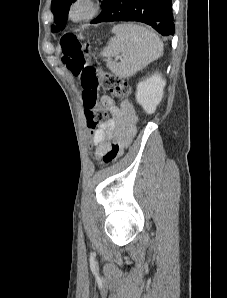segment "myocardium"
Instances as JSON below:
<instances>
[{"instance_id": "obj_1", "label": "myocardium", "mask_w": 227, "mask_h": 298, "mask_svg": "<svg viewBox=\"0 0 227 298\" xmlns=\"http://www.w3.org/2000/svg\"><path fill=\"white\" fill-rule=\"evenodd\" d=\"M98 11L94 0H73L68 8V17L74 23L92 19Z\"/></svg>"}]
</instances>
